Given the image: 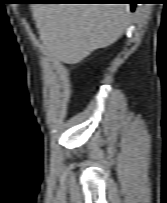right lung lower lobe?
<instances>
[{"label":"right lung lower lobe","mask_w":167,"mask_h":203,"mask_svg":"<svg viewBox=\"0 0 167 203\" xmlns=\"http://www.w3.org/2000/svg\"><path fill=\"white\" fill-rule=\"evenodd\" d=\"M86 3H130L131 11H134L136 3L134 0H85Z\"/></svg>","instance_id":"right-lung-lower-lobe-1"}]
</instances>
